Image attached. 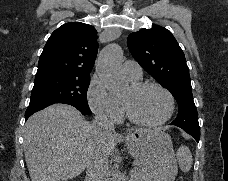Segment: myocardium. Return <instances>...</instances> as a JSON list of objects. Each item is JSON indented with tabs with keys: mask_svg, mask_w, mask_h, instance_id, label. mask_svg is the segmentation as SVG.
<instances>
[{
	"mask_svg": "<svg viewBox=\"0 0 228 181\" xmlns=\"http://www.w3.org/2000/svg\"><path fill=\"white\" fill-rule=\"evenodd\" d=\"M148 87L158 89L165 96V98L167 100L166 111L162 117H160L157 120H152V121L142 119L134 112L132 105L128 100H125L124 104H125L127 115L132 122L139 124V125L153 127V126H158L169 119V117L171 116L172 111H173V98H172L171 94L165 88H163L161 85H159L156 82H150V81L133 82L130 87V91L132 93H138Z\"/></svg>",
	"mask_w": 228,
	"mask_h": 181,
	"instance_id": "1",
	"label": "myocardium"
}]
</instances>
